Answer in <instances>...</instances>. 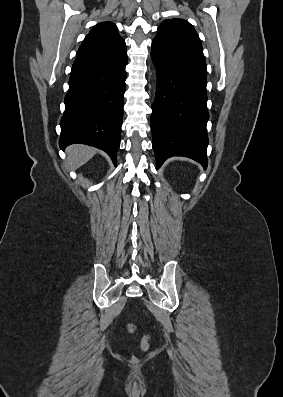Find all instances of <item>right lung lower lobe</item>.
I'll use <instances>...</instances> for the list:
<instances>
[{
    "label": "right lung lower lobe",
    "mask_w": 283,
    "mask_h": 397,
    "mask_svg": "<svg viewBox=\"0 0 283 397\" xmlns=\"http://www.w3.org/2000/svg\"><path fill=\"white\" fill-rule=\"evenodd\" d=\"M128 59L111 65L71 73L60 121L59 145L82 143L104 150L116 164L123 118L125 66Z\"/></svg>",
    "instance_id": "right-lung-lower-lobe-1"
}]
</instances>
